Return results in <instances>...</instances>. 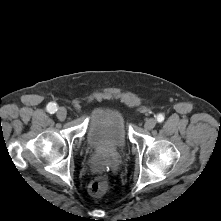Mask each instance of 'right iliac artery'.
Wrapping results in <instances>:
<instances>
[{
	"mask_svg": "<svg viewBox=\"0 0 221 221\" xmlns=\"http://www.w3.org/2000/svg\"><path fill=\"white\" fill-rule=\"evenodd\" d=\"M47 111L51 114L55 113L57 111V105L55 103H49L47 105Z\"/></svg>",
	"mask_w": 221,
	"mask_h": 221,
	"instance_id": "right-iliac-artery-1",
	"label": "right iliac artery"
}]
</instances>
